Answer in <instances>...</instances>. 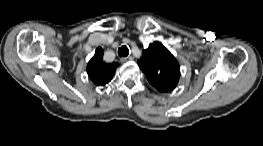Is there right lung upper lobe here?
Returning <instances> with one entry per match:
<instances>
[{"instance_id": "cb5924a9", "label": "right lung upper lobe", "mask_w": 263, "mask_h": 146, "mask_svg": "<svg viewBox=\"0 0 263 146\" xmlns=\"http://www.w3.org/2000/svg\"><path fill=\"white\" fill-rule=\"evenodd\" d=\"M104 51L97 48L94 56L87 64V73L93 83L97 86H103L111 81L118 67V63H106L103 61Z\"/></svg>"}]
</instances>
